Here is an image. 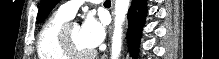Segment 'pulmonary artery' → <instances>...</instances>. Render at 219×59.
I'll use <instances>...</instances> for the list:
<instances>
[{"instance_id":"e3ab8cb5","label":"pulmonary artery","mask_w":219,"mask_h":59,"mask_svg":"<svg viewBox=\"0 0 219 59\" xmlns=\"http://www.w3.org/2000/svg\"><path fill=\"white\" fill-rule=\"evenodd\" d=\"M83 3L84 1H69V2L62 4L59 7L58 11L64 14L65 16L72 18L76 14L78 8Z\"/></svg>"}]
</instances>
